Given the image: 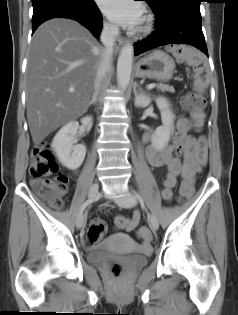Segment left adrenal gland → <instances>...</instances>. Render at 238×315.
Segmentation results:
<instances>
[{"label": "left adrenal gland", "mask_w": 238, "mask_h": 315, "mask_svg": "<svg viewBox=\"0 0 238 315\" xmlns=\"http://www.w3.org/2000/svg\"><path fill=\"white\" fill-rule=\"evenodd\" d=\"M138 85H139V84H138L137 82H135V84H134V88H133L135 96H137L136 86H138Z\"/></svg>", "instance_id": "left-adrenal-gland-1"}]
</instances>
